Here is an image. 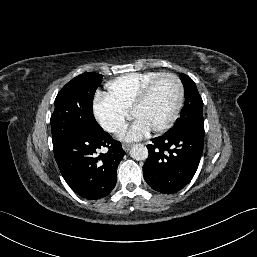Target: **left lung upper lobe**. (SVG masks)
<instances>
[{"label":"left lung upper lobe","instance_id":"left-lung-upper-lobe-1","mask_svg":"<svg viewBox=\"0 0 257 257\" xmlns=\"http://www.w3.org/2000/svg\"><path fill=\"white\" fill-rule=\"evenodd\" d=\"M180 79L184 85L185 103L180 118L167 133L173 134L189 128L204 129L203 101L195 82L186 74L181 73Z\"/></svg>","mask_w":257,"mask_h":257}]
</instances>
